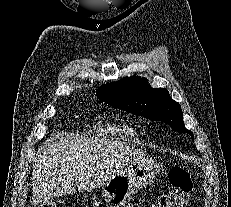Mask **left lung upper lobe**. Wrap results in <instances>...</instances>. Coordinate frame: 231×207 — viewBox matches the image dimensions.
Instances as JSON below:
<instances>
[{
  "label": "left lung upper lobe",
  "instance_id": "5c2ea615",
  "mask_svg": "<svg viewBox=\"0 0 231 207\" xmlns=\"http://www.w3.org/2000/svg\"><path fill=\"white\" fill-rule=\"evenodd\" d=\"M103 102L152 121H162L178 132L193 133L185 128L183 113L179 103L171 99L164 88H151L146 78L124 77L107 83L96 90Z\"/></svg>",
  "mask_w": 231,
  "mask_h": 207
}]
</instances>
